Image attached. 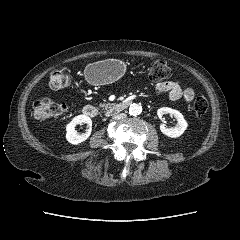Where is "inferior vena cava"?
Returning <instances> with one entry per match:
<instances>
[{"label":"inferior vena cava","instance_id":"obj_1","mask_svg":"<svg viewBox=\"0 0 240 240\" xmlns=\"http://www.w3.org/2000/svg\"><path fill=\"white\" fill-rule=\"evenodd\" d=\"M112 118H113L114 120L124 119V118H126V114H125V113H114V114L112 115Z\"/></svg>","mask_w":240,"mask_h":240}]
</instances>
